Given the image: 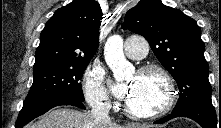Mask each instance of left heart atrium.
<instances>
[{
  "label": "left heart atrium",
  "instance_id": "1",
  "mask_svg": "<svg viewBox=\"0 0 221 128\" xmlns=\"http://www.w3.org/2000/svg\"><path fill=\"white\" fill-rule=\"evenodd\" d=\"M132 90H133V83L124 86H119L115 89V95L120 99L126 100Z\"/></svg>",
  "mask_w": 221,
  "mask_h": 128
}]
</instances>
